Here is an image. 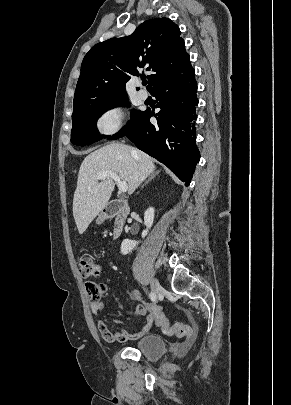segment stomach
<instances>
[{"mask_svg": "<svg viewBox=\"0 0 291 405\" xmlns=\"http://www.w3.org/2000/svg\"><path fill=\"white\" fill-rule=\"evenodd\" d=\"M107 217H108L107 213L102 210L101 213L98 215V218L96 219V223L97 224L103 223Z\"/></svg>", "mask_w": 291, "mask_h": 405, "instance_id": "1", "label": "stomach"}]
</instances>
